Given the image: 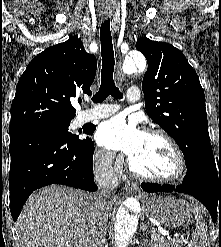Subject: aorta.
Returning a JSON list of instances; mask_svg holds the SVG:
<instances>
[{
    "label": "aorta",
    "instance_id": "aorta-1",
    "mask_svg": "<svg viewBox=\"0 0 221 247\" xmlns=\"http://www.w3.org/2000/svg\"><path fill=\"white\" fill-rule=\"evenodd\" d=\"M144 69L146 67L145 58L137 52L130 53L126 57L122 71L126 74L132 73L135 68ZM138 226L137 214H130L126 209L120 208L116 215L114 226V239L117 247H128L129 241Z\"/></svg>",
    "mask_w": 221,
    "mask_h": 247
}]
</instances>
